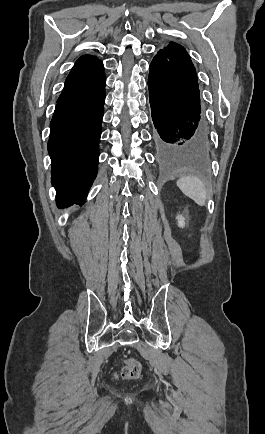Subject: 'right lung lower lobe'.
Wrapping results in <instances>:
<instances>
[{
  "mask_svg": "<svg viewBox=\"0 0 265 434\" xmlns=\"http://www.w3.org/2000/svg\"><path fill=\"white\" fill-rule=\"evenodd\" d=\"M105 82L102 61L81 56L57 100L48 151L59 207L83 204L96 177Z\"/></svg>",
  "mask_w": 265,
  "mask_h": 434,
  "instance_id": "1",
  "label": "right lung lower lobe"
}]
</instances>
